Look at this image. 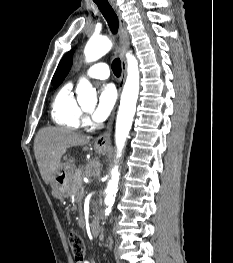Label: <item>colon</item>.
Segmentation results:
<instances>
[{
  "mask_svg": "<svg viewBox=\"0 0 233 263\" xmlns=\"http://www.w3.org/2000/svg\"><path fill=\"white\" fill-rule=\"evenodd\" d=\"M68 241L75 261L81 263L86 255V247L83 238L78 233L71 232L68 235Z\"/></svg>",
  "mask_w": 233,
  "mask_h": 263,
  "instance_id": "obj_1",
  "label": "colon"
}]
</instances>
